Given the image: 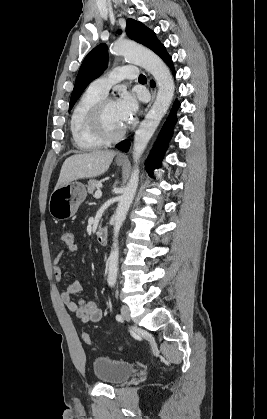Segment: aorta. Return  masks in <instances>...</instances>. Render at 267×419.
Returning a JSON list of instances; mask_svg holds the SVG:
<instances>
[{
  "label": "aorta",
  "instance_id": "aorta-1",
  "mask_svg": "<svg viewBox=\"0 0 267 419\" xmlns=\"http://www.w3.org/2000/svg\"><path fill=\"white\" fill-rule=\"evenodd\" d=\"M114 55H120L125 60L143 67L152 74L158 86V92L153 106L135 132L133 144L134 167L131 177L120 197L114 222L113 247L108 258V285L114 286L118 273V234L126 218V214L133 202L139 182L138 163L149 140L153 136L160 121L166 114L175 91L173 77L166 64L154 52L130 41H117L110 49Z\"/></svg>",
  "mask_w": 267,
  "mask_h": 419
}]
</instances>
